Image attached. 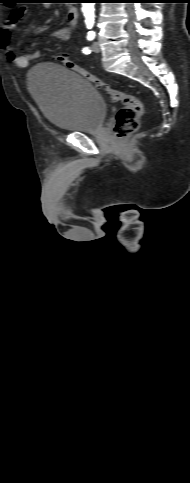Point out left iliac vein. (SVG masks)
I'll list each match as a JSON object with an SVG mask.
<instances>
[{
    "label": "left iliac vein",
    "instance_id": "obj_1",
    "mask_svg": "<svg viewBox=\"0 0 190 483\" xmlns=\"http://www.w3.org/2000/svg\"><path fill=\"white\" fill-rule=\"evenodd\" d=\"M92 50L96 53L100 52V46L98 42H94L92 45Z\"/></svg>",
    "mask_w": 190,
    "mask_h": 483
}]
</instances>
